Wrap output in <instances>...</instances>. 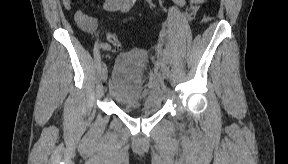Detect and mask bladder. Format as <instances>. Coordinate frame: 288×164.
<instances>
[{
    "label": "bladder",
    "instance_id": "1",
    "mask_svg": "<svg viewBox=\"0 0 288 164\" xmlns=\"http://www.w3.org/2000/svg\"><path fill=\"white\" fill-rule=\"evenodd\" d=\"M146 60L141 51L127 52L112 69L108 93L125 113L153 114L160 110L158 95L144 84L142 71Z\"/></svg>",
    "mask_w": 288,
    "mask_h": 164
}]
</instances>
